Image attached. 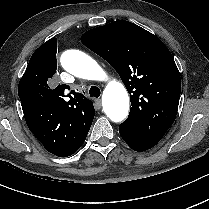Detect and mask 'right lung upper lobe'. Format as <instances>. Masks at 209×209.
Instances as JSON below:
<instances>
[{
    "label": "right lung upper lobe",
    "mask_w": 209,
    "mask_h": 209,
    "mask_svg": "<svg viewBox=\"0 0 209 209\" xmlns=\"http://www.w3.org/2000/svg\"><path fill=\"white\" fill-rule=\"evenodd\" d=\"M57 39L52 38L39 47L31 56L26 71L20 80L18 95L21 105L46 103L51 107L52 120L50 125L62 131L64 141L69 146L84 142L91 127L95 110L93 102L83 94L71 91L65 98L67 85H58L50 89L47 85L43 90L25 88L24 82L38 67L51 76L56 72Z\"/></svg>",
    "instance_id": "right-lung-upper-lobe-1"
}]
</instances>
